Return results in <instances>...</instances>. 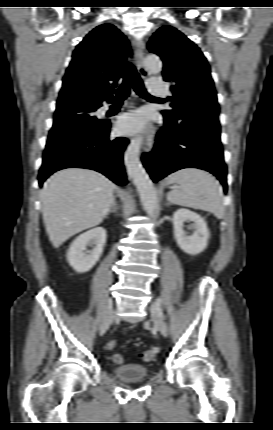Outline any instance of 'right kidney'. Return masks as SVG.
<instances>
[{
  "mask_svg": "<svg viewBox=\"0 0 273 430\" xmlns=\"http://www.w3.org/2000/svg\"><path fill=\"white\" fill-rule=\"evenodd\" d=\"M106 242V230L102 227L91 229L78 236L70 245L67 260L78 273L89 271L99 260ZM95 245L91 251L87 246Z\"/></svg>",
  "mask_w": 273,
  "mask_h": 430,
  "instance_id": "1",
  "label": "right kidney"
}]
</instances>
